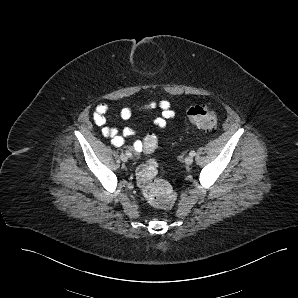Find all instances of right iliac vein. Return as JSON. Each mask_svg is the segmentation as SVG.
Wrapping results in <instances>:
<instances>
[{"instance_id": "right-iliac-vein-1", "label": "right iliac vein", "mask_w": 298, "mask_h": 298, "mask_svg": "<svg viewBox=\"0 0 298 298\" xmlns=\"http://www.w3.org/2000/svg\"><path fill=\"white\" fill-rule=\"evenodd\" d=\"M120 158H121V160L123 162H127L128 161V156L126 154H121Z\"/></svg>"}]
</instances>
